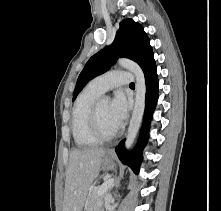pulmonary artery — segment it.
<instances>
[{
    "instance_id": "1",
    "label": "pulmonary artery",
    "mask_w": 221,
    "mask_h": 211,
    "mask_svg": "<svg viewBox=\"0 0 221 211\" xmlns=\"http://www.w3.org/2000/svg\"><path fill=\"white\" fill-rule=\"evenodd\" d=\"M133 80V75L130 72L122 70H113L104 73L94 78L90 84L104 93L114 87L129 84Z\"/></svg>"
}]
</instances>
